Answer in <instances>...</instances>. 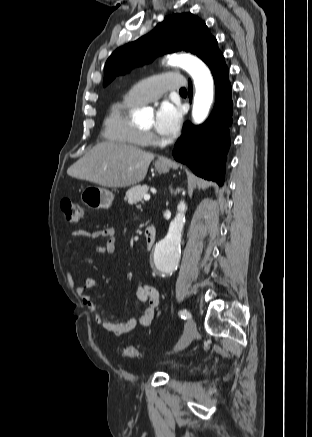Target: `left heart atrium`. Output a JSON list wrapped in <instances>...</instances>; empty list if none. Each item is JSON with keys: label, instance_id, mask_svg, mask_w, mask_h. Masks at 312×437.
Here are the masks:
<instances>
[{"label": "left heart atrium", "instance_id": "1", "mask_svg": "<svg viewBox=\"0 0 312 437\" xmlns=\"http://www.w3.org/2000/svg\"><path fill=\"white\" fill-rule=\"evenodd\" d=\"M181 120L180 109L170 102H163L156 111L154 127L160 135L170 137L178 132Z\"/></svg>", "mask_w": 312, "mask_h": 437}]
</instances>
